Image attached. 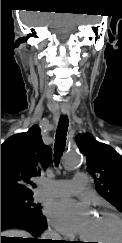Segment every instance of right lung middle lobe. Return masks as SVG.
Segmentation results:
<instances>
[{
  "mask_svg": "<svg viewBox=\"0 0 122 243\" xmlns=\"http://www.w3.org/2000/svg\"><path fill=\"white\" fill-rule=\"evenodd\" d=\"M32 196H22V197H11V198H2L1 206H15L34 212H38L41 209L40 204L32 203Z\"/></svg>",
  "mask_w": 122,
  "mask_h": 243,
  "instance_id": "obj_1",
  "label": "right lung middle lobe"
}]
</instances>
